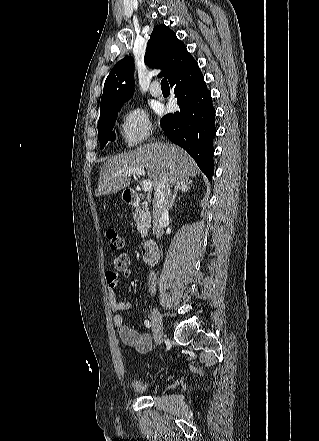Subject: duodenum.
I'll list each match as a JSON object with an SVG mask.
<instances>
[{"instance_id": "410a0bca", "label": "duodenum", "mask_w": 319, "mask_h": 441, "mask_svg": "<svg viewBox=\"0 0 319 441\" xmlns=\"http://www.w3.org/2000/svg\"><path fill=\"white\" fill-rule=\"evenodd\" d=\"M124 199L129 205H139L141 203L140 196L134 190L125 191ZM141 253H142V258L145 262L151 265H154L158 262L159 251L155 243L151 241L144 242Z\"/></svg>"}]
</instances>
